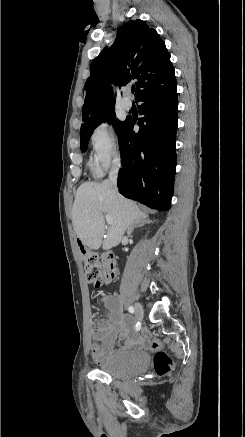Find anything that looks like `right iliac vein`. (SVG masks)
Instances as JSON below:
<instances>
[{
    "label": "right iliac vein",
    "mask_w": 245,
    "mask_h": 437,
    "mask_svg": "<svg viewBox=\"0 0 245 437\" xmlns=\"http://www.w3.org/2000/svg\"><path fill=\"white\" fill-rule=\"evenodd\" d=\"M135 314L139 319L143 318L144 310H143V307L140 303L135 304Z\"/></svg>",
    "instance_id": "1"
}]
</instances>
